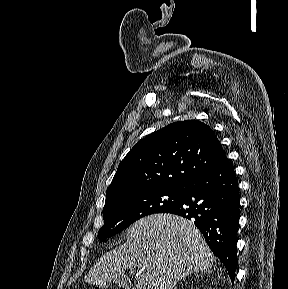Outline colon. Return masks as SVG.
Masks as SVG:
<instances>
[{
    "mask_svg": "<svg viewBox=\"0 0 288 289\" xmlns=\"http://www.w3.org/2000/svg\"><path fill=\"white\" fill-rule=\"evenodd\" d=\"M95 289H106V288H99V287H98V288H95Z\"/></svg>",
    "mask_w": 288,
    "mask_h": 289,
    "instance_id": "5ec220e1",
    "label": "colon"
}]
</instances>
